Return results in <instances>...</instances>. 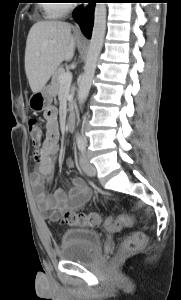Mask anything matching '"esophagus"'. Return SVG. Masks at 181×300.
I'll use <instances>...</instances> for the list:
<instances>
[{
    "mask_svg": "<svg viewBox=\"0 0 181 300\" xmlns=\"http://www.w3.org/2000/svg\"><path fill=\"white\" fill-rule=\"evenodd\" d=\"M75 31H76V32H80V26H79L78 23H76V25H75Z\"/></svg>",
    "mask_w": 181,
    "mask_h": 300,
    "instance_id": "34e87169",
    "label": "esophagus"
}]
</instances>
